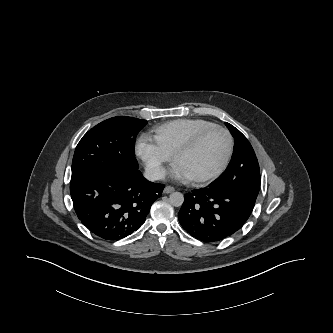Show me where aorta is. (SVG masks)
I'll return each instance as SVG.
<instances>
[{
	"label": "aorta",
	"mask_w": 333,
	"mask_h": 333,
	"mask_svg": "<svg viewBox=\"0 0 333 333\" xmlns=\"http://www.w3.org/2000/svg\"><path fill=\"white\" fill-rule=\"evenodd\" d=\"M169 202L171 205H173L175 207H179L184 202V196L180 192H173L169 196Z\"/></svg>",
	"instance_id": "aorta-1"
}]
</instances>
